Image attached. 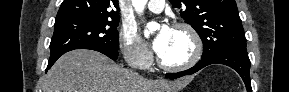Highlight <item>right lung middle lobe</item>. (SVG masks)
I'll return each mask as SVG.
<instances>
[{"label":"right lung middle lobe","mask_w":289,"mask_h":92,"mask_svg":"<svg viewBox=\"0 0 289 92\" xmlns=\"http://www.w3.org/2000/svg\"><path fill=\"white\" fill-rule=\"evenodd\" d=\"M119 18H66L56 20L50 43V58L74 49L103 47L114 51L119 48Z\"/></svg>","instance_id":"right-lung-middle-lobe-1"}]
</instances>
